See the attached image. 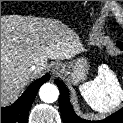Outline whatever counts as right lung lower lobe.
I'll use <instances>...</instances> for the list:
<instances>
[{"mask_svg": "<svg viewBox=\"0 0 123 123\" xmlns=\"http://www.w3.org/2000/svg\"><path fill=\"white\" fill-rule=\"evenodd\" d=\"M49 77V74H46L37 79L12 106L1 108V123H27L28 113L38 89Z\"/></svg>", "mask_w": 123, "mask_h": 123, "instance_id": "obj_1", "label": "right lung lower lobe"}]
</instances>
